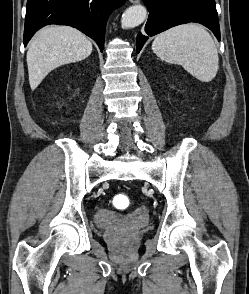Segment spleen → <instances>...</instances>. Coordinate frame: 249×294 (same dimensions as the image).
<instances>
[{"mask_svg": "<svg viewBox=\"0 0 249 294\" xmlns=\"http://www.w3.org/2000/svg\"><path fill=\"white\" fill-rule=\"evenodd\" d=\"M152 50L162 60L181 65L202 82L211 81L219 68L218 52L212 36L193 23L160 33L152 43Z\"/></svg>", "mask_w": 249, "mask_h": 294, "instance_id": "3e777b00", "label": "spleen"}]
</instances>
